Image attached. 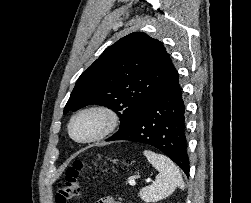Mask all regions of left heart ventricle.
<instances>
[{"instance_id": "b2bd125f", "label": "left heart ventricle", "mask_w": 251, "mask_h": 203, "mask_svg": "<svg viewBox=\"0 0 251 203\" xmlns=\"http://www.w3.org/2000/svg\"><path fill=\"white\" fill-rule=\"evenodd\" d=\"M102 121L99 116L86 114L79 117L73 125V132L78 138H87L95 134L101 127Z\"/></svg>"}]
</instances>
